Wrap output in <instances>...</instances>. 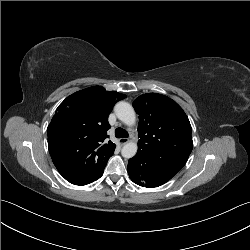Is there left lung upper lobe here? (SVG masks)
Masks as SVG:
<instances>
[{
  "label": "left lung upper lobe",
  "instance_id": "5c2ea615",
  "mask_svg": "<svg viewBox=\"0 0 250 250\" xmlns=\"http://www.w3.org/2000/svg\"><path fill=\"white\" fill-rule=\"evenodd\" d=\"M133 107L139 115L138 151L152 163L180 170L193 148L191 125L183 109L157 93L137 97Z\"/></svg>",
  "mask_w": 250,
  "mask_h": 250
}]
</instances>
